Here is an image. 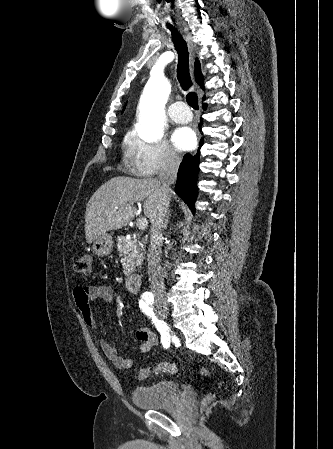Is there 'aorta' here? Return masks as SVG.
I'll return each mask as SVG.
<instances>
[{
	"mask_svg": "<svg viewBox=\"0 0 333 449\" xmlns=\"http://www.w3.org/2000/svg\"><path fill=\"white\" fill-rule=\"evenodd\" d=\"M171 84L158 66L151 71L140 99L139 135L147 141H157L163 137L165 108Z\"/></svg>",
	"mask_w": 333,
	"mask_h": 449,
	"instance_id": "1",
	"label": "aorta"
}]
</instances>
